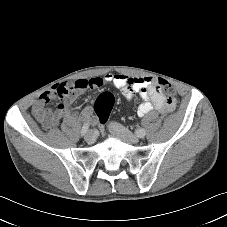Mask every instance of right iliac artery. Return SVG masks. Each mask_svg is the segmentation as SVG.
Returning a JSON list of instances; mask_svg holds the SVG:
<instances>
[{"label": "right iliac artery", "mask_w": 227, "mask_h": 227, "mask_svg": "<svg viewBox=\"0 0 227 227\" xmlns=\"http://www.w3.org/2000/svg\"><path fill=\"white\" fill-rule=\"evenodd\" d=\"M89 129V123H85L81 129V135H85Z\"/></svg>", "instance_id": "obj_1"}]
</instances>
